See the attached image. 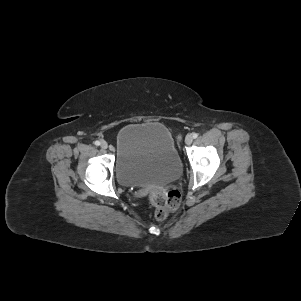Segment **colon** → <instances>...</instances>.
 Instances as JSON below:
<instances>
[{
  "label": "colon",
  "mask_w": 301,
  "mask_h": 301,
  "mask_svg": "<svg viewBox=\"0 0 301 301\" xmlns=\"http://www.w3.org/2000/svg\"><path fill=\"white\" fill-rule=\"evenodd\" d=\"M149 200L155 208L156 219L163 221L172 211L179 207L181 194L178 190H170L167 192L152 190L149 193Z\"/></svg>",
  "instance_id": "obj_1"
}]
</instances>
